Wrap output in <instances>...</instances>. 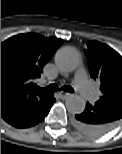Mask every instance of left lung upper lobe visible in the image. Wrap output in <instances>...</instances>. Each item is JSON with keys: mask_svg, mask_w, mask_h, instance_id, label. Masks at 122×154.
I'll use <instances>...</instances> for the list:
<instances>
[{"mask_svg": "<svg viewBox=\"0 0 122 154\" xmlns=\"http://www.w3.org/2000/svg\"><path fill=\"white\" fill-rule=\"evenodd\" d=\"M85 55L90 75L100 82V98L122 97V57L111 47L88 41Z\"/></svg>", "mask_w": 122, "mask_h": 154, "instance_id": "1", "label": "left lung upper lobe"}]
</instances>
